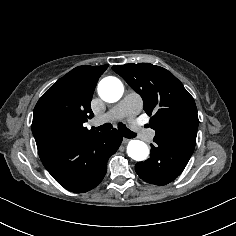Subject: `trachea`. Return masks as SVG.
Wrapping results in <instances>:
<instances>
[{
    "label": "trachea",
    "mask_w": 236,
    "mask_h": 236,
    "mask_svg": "<svg viewBox=\"0 0 236 236\" xmlns=\"http://www.w3.org/2000/svg\"><path fill=\"white\" fill-rule=\"evenodd\" d=\"M96 130H99L101 132H108L110 131V129L112 128V124L111 123H105L99 127H93ZM118 130L120 131V133L125 137V138H134L136 136V134L132 131H130L126 125H124L123 123H119L118 124Z\"/></svg>",
    "instance_id": "obj_1"
}]
</instances>
